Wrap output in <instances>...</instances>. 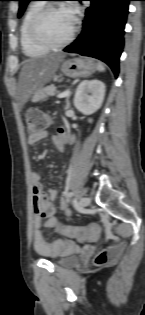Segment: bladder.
<instances>
[{
  "label": "bladder",
  "mask_w": 145,
  "mask_h": 315,
  "mask_svg": "<svg viewBox=\"0 0 145 315\" xmlns=\"http://www.w3.org/2000/svg\"><path fill=\"white\" fill-rule=\"evenodd\" d=\"M53 262L56 266L69 268L74 267L78 264L79 259L78 255L75 252L63 254L61 257L53 259Z\"/></svg>",
  "instance_id": "bladder-1"
}]
</instances>
